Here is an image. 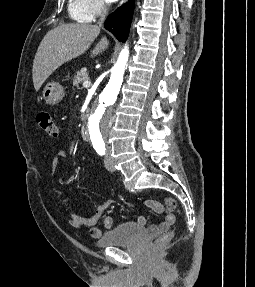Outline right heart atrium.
<instances>
[{"instance_id": "d8ad5b80", "label": "right heart atrium", "mask_w": 255, "mask_h": 287, "mask_svg": "<svg viewBox=\"0 0 255 287\" xmlns=\"http://www.w3.org/2000/svg\"><path fill=\"white\" fill-rule=\"evenodd\" d=\"M146 33H152V32H146ZM147 39H152V38H147Z\"/></svg>"}]
</instances>
